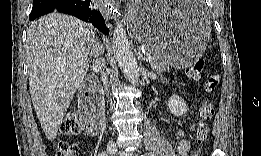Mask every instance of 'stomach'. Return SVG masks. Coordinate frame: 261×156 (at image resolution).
I'll return each instance as SVG.
<instances>
[{
  "instance_id": "0dacf381",
  "label": "stomach",
  "mask_w": 261,
  "mask_h": 156,
  "mask_svg": "<svg viewBox=\"0 0 261 156\" xmlns=\"http://www.w3.org/2000/svg\"><path fill=\"white\" fill-rule=\"evenodd\" d=\"M129 18L138 41L173 66L189 67L206 49L210 21L196 2H136Z\"/></svg>"
}]
</instances>
